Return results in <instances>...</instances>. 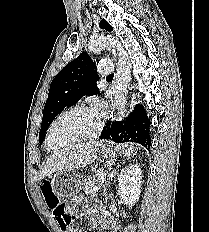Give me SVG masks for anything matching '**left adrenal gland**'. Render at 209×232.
I'll return each mask as SVG.
<instances>
[{
  "instance_id": "a2214340",
  "label": "left adrenal gland",
  "mask_w": 209,
  "mask_h": 232,
  "mask_svg": "<svg viewBox=\"0 0 209 232\" xmlns=\"http://www.w3.org/2000/svg\"><path fill=\"white\" fill-rule=\"evenodd\" d=\"M115 175H116V171H112L111 173H110V175L108 176V181H107V183H106V187H105V189H104V195H105V197H106V199H107V186L110 184V182L113 180V178L115 177Z\"/></svg>"
}]
</instances>
